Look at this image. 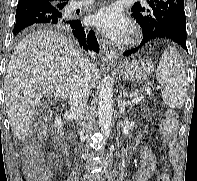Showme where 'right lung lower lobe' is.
Wrapping results in <instances>:
<instances>
[{"label":"right lung lower lobe","instance_id":"1","mask_svg":"<svg viewBox=\"0 0 197 181\" xmlns=\"http://www.w3.org/2000/svg\"><path fill=\"white\" fill-rule=\"evenodd\" d=\"M67 4H53L46 0H19L16 9L14 34L31 25H50L69 30L81 47L98 52L99 45L94 32L82 26L80 20H67L61 10Z\"/></svg>","mask_w":197,"mask_h":181}]
</instances>
